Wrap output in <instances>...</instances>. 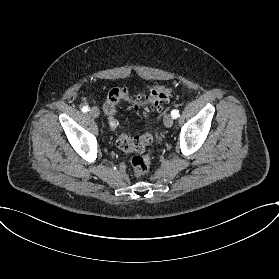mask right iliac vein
<instances>
[{"label":"right iliac vein","mask_w":279,"mask_h":279,"mask_svg":"<svg viewBox=\"0 0 279 279\" xmlns=\"http://www.w3.org/2000/svg\"><path fill=\"white\" fill-rule=\"evenodd\" d=\"M89 114H91L94 118H97L99 116V110L97 107H92L89 110Z\"/></svg>","instance_id":"1"}]
</instances>
